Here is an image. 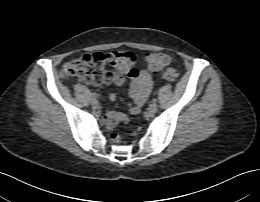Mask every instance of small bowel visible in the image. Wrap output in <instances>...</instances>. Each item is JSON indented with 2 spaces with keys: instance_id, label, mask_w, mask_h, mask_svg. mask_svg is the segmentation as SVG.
<instances>
[{
  "instance_id": "c3829d8e",
  "label": "small bowel",
  "mask_w": 260,
  "mask_h": 202,
  "mask_svg": "<svg viewBox=\"0 0 260 202\" xmlns=\"http://www.w3.org/2000/svg\"><path fill=\"white\" fill-rule=\"evenodd\" d=\"M128 77L130 78V94L132 97V105L130 106L129 112L131 114H137L151 93L153 75L147 70L138 71L136 69H130L128 71ZM112 81L116 85L121 86L123 84V77L117 72L114 74ZM109 98L111 101H115L116 96L111 93ZM103 120L107 129L111 130L116 125L125 122L126 116L119 112L109 111L103 115Z\"/></svg>"
}]
</instances>
